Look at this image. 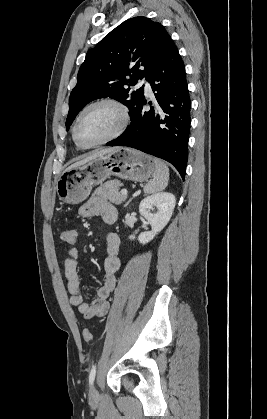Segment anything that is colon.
Segmentation results:
<instances>
[{
	"label": "colon",
	"mask_w": 267,
	"mask_h": 419,
	"mask_svg": "<svg viewBox=\"0 0 267 419\" xmlns=\"http://www.w3.org/2000/svg\"><path fill=\"white\" fill-rule=\"evenodd\" d=\"M61 239L66 244L73 245L76 242V233L70 229H63L61 231ZM83 338L86 342H89L92 339V333L90 329L85 328L83 330Z\"/></svg>",
	"instance_id": "1"
}]
</instances>
